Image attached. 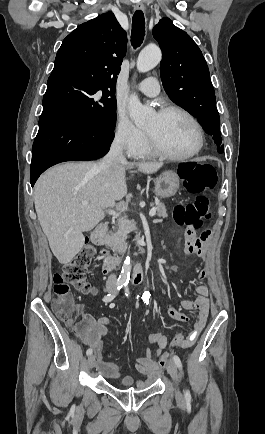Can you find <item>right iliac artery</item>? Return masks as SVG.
<instances>
[{"instance_id": "right-iliac-artery-1", "label": "right iliac artery", "mask_w": 265, "mask_h": 434, "mask_svg": "<svg viewBox=\"0 0 265 434\" xmlns=\"http://www.w3.org/2000/svg\"><path fill=\"white\" fill-rule=\"evenodd\" d=\"M124 285H125V282L118 281V282L116 283V289H115V291L112 292V293H109V294L105 295V296L103 297V301H104V302H111V301L115 298L116 294L120 291V289H121ZM86 354H87L88 356L91 355V354H92V349H91V348L87 349Z\"/></svg>"}]
</instances>
